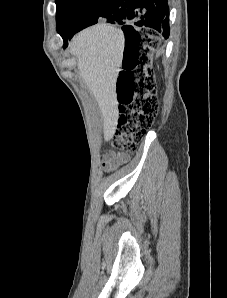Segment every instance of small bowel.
I'll return each instance as SVG.
<instances>
[{"mask_svg":"<svg viewBox=\"0 0 227 298\" xmlns=\"http://www.w3.org/2000/svg\"><path fill=\"white\" fill-rule=\"evenodd\" d=\"M129 159V154L123 151L110 150L101 156L100 161L104 170L112 171L120 167L121 165L127 163Z\"/></svg>","mask_w":227,"mask_h":298,"instance_id":"1","label":"small bowel"}]
</instances>
